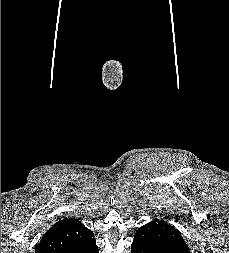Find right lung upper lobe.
<instances>
[{"label":"right lung upper lobe","instance_id":"1","mask_svg":"<svg viewBox=\"0 0 229 253\" xmlns=\"http://www.w3.org/2000/svg\"><path fill=\"white\" fill-rule=\"evenodd\" d=\"M94 234L79 220L65 218L55 223L36 245L35 253H70L93 242Z\"/></svg>","mask_w":229,"mask_h":253}]
</instances>
